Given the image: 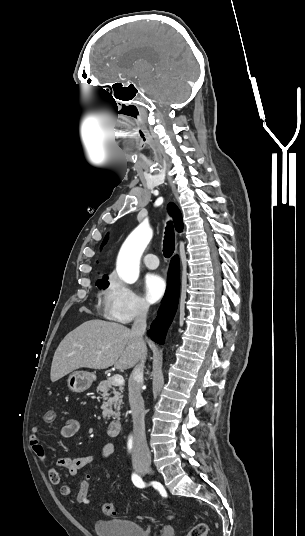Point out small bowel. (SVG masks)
<instances>
[{
	"label": "small bowel",
	"mask_w": 305,
	"mask_h": 536,
	"mask_svg": "<svg viewBox=\"0 0 305 536\" xmlns=\"http://www.w3.org/2000/svg\"><path fill=\"white\" fill-rule=\"evenodd\" d=\"M80 422L77 419H70L61 429V437L71 438L78 433L80 430ZM43 427H32L30 432V446L34 454L43 462H47L45 450L40 443L39 434L42 431ZM113 453V445L107 443L103 446L101 451V457L103 459L108 458ZM95 461L93 456H83V457H60L56 460V466H47L46 472L49 481L58 485L60 483V474L57 468L66 470L71 476H76L81 473L86 467L92 465ZM84 481L81 482V484ZM80 484V486H81ZM73 492V488L69 484H63L60 486V494L64 497L70 496Z\"/></svg>",
	"instance_id": "obj_1"
}]
</instances>
